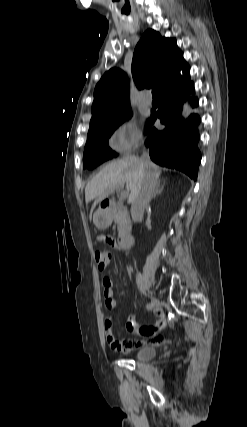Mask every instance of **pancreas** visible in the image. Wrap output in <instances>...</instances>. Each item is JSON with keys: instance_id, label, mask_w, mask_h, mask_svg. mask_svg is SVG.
Listing matches in <instances>:
<instances>
[{"instance_id": "pancreas-1", "label": "pancreas", "mask_w": 247, "mask_h": 427, "mask_svg": "<svg viewBox=\"0 0 247 427\" xmlns=\"http://www.w3.org/2000/svg\"><path fill=\"white\" fill-rule=\"evenodd\" d=\"M112 216L114 218L115 224L117 225L119 236L123 237L129 230L130 226L128 212L122 209L120 205H118L112 210Z\"/></svg>"}]
</instances>
